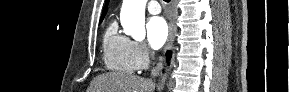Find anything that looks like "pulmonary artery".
I'll use <instances>...</instances> for the list:
<instances>
[{"instance_id": "obj_1", "label": "pulmonary artery", "mask_w": 289, "mask_h": 92, "mask_svg": "<svg viewBox=\"0 0 289 92\" xmlns=\"http://www.w3.org/2000/svg\"><path fill=\"white\" fill-rule=\"evenodd\" d=\"M147 10L151 14H159L161 12V7L158 1L151 0L147 4Z\"/></svg>"}]
</instances>
